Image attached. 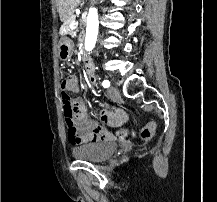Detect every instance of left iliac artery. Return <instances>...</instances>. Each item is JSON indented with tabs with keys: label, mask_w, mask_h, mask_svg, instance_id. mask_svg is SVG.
Wrapping results in <instances>:
<instances>
[{
	"label": "left iliac artery",
	"mask_w": 217,
	"mask_h": 202,
	"mask_svg": "<svg viewBox=\"0 0 217 202\" xmlns=\"http://www.w3.org/2000/svg\"><path fill=\"white\" fill-rule=\"evenodd\" d=\"M102 85H103L104 88H108V87L110 86L109 80H104V81L102 82Z\"/></svg>",
	"instance_id": "left-iliac-artery-1"
}]
</instances>
